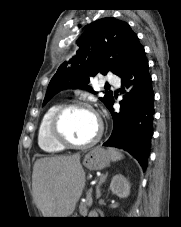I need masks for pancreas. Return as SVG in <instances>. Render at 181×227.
Wrapping results in <instances>:
<instances>
[{
	"label": "pancreas",
	"mask_w": 181,
	"mask_h": 227,
	"mask_svg": "<svg viewBox=\"0 0 181 227\" xmlns=\"http://www.w3.org/2000/svg\"><path fill=\"white\" fill-rule=\"evenodd\" d=\"M90 206L89 202L81 203L79 206V212L82 215V217H86L88 213V207Z\"/></svg>",
	"instance_id": "1"
}]
</instances>
